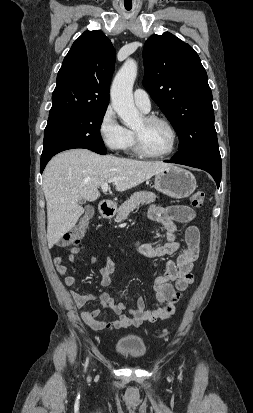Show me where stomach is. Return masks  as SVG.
Listing matches in <instances>:
<instances>
[{"mask_svg":"<svg viewBox=\"0 0 253 413\" xmlns=\"http://www.w3.org/2000/svg\"><path fill=\"white\" fill-rule=\"evenodd\" d=\"M196 187L194 175L177 166L165 168L155 175L156 190L174 199L187 198Z\"/></svg>","mask_w":253,"mask_h":413,"instance_id":"1","label":"stomach"}]
</instances>
